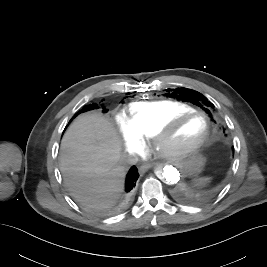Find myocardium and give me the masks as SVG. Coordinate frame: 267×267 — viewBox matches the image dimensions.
<instances>
[{
	"mask_svg": "<svg viewBox=\"0 0 267 267\" xmlns=\"http://www.w3.org/2000/svg\"><path fill=\"white\" fill-rule=\"evenodd\" d=\"M199 115L205 121V129L202 136L184 146H174L169 144V138L172 130L189 116ZM211 130V123L208 115L201 110L193 109L174 115L165 121L153 135L154 148L168 160H178L185 158L197 152L208 140Z\"/></svg>",
	"mask_w": 267,
	"mask_h": 267,
	"instance_id": "f54148a6",
	"label": "myocardium"
}]
</instances>
